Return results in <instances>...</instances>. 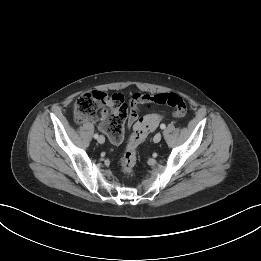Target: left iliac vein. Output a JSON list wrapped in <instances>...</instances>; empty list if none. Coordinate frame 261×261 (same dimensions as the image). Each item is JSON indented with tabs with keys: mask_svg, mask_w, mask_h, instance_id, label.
I'll return each mask as SVG.
<instances>
[{
	"mask_svg": "<svg viewBox=\"0 0 261 261\" xmlns=\"http://www.w3.org/2000/svg\"><path fill=\"white\" fill-rule=\"evenodd\" d=\"M161 138H162L161 134H160V133H157V134H155V136L153 137V141H154L155 143H158V142H160Z\"/></svg>",
	"mask_w": 261,
	"mask_h": 261,
	"instance_id": "left-iliac-vein-1",
	"label": "left iliac vein"
}]
</instances>
